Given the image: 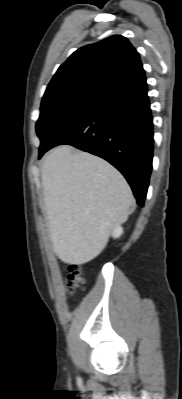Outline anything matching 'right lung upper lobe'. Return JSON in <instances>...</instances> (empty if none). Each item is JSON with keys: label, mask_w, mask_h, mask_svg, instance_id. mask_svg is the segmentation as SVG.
<instances>
[{"label": "right lung upper lobe", "mask_w": 182, "mask_h": 399, "mask_svg": "<svg viewBox=\"0 0 182 399\" xmlns=\"http://www.w3.org/2000/svg\"><path fill=\"white\" fill-rule=\"evenodd\" d=\"M145 83L138 52L127 38L114 35L75 51L58 68L42 101L78 93L107 98Z\"/></svg>", "instance_id": "cb5924a9"}]
</instances>
